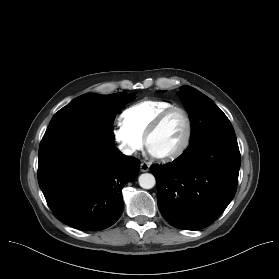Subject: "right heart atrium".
<instances>
[{"label": "right heart atrium", "mask_w": 279, "mask_h": 279, "mask_svg": "<svg viewBox=\"0 0 279 279\" xmlns=\"http://www.w3.org/2000/svg\"><path fill=\"white\" fill-rule=\"evenodd\" d=\"M112 134L118 148L126 155H134L143 148L144 140L121 121L115 123Z\"/></svg>", "instance_id": "right-heart-atrium-1"}]
</instances>
